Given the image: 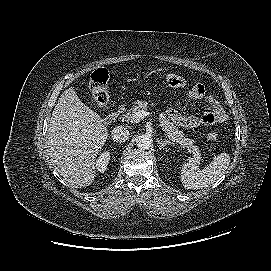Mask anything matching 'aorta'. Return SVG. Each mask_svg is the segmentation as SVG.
Instances as JSON below:
<instances>
[{
    "label": "aorta",
    "mask_w": 271,
    "mask_h": 271,
    "mask_svg": "<svg viewBox=\"0 0 271 271\" xmlns=\"http://www.w3.org/2000/svg\"><path fill=\"white\" fill-rule=\"evenodd\" d=\"M136 145L140 149H148L152 145V139L145 134L139 135L136 139Z\"/></svg>",
    "instance_id": "1"
}]
</instances>
